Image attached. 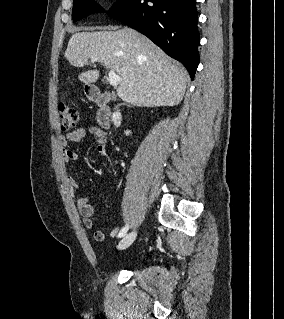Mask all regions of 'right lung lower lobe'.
I'll return each mask as SVG.
<instances>
[{
    "label": "right lung lower lobe",
    "mask_w": 284,
    "mask_h": 319,
    "mask_svg": "<svg viewBox=\"0 0 284 319\" xmlns=\"http://www.w3.org/2000/svg\"><path fill=\"white\" fill-rule=\"evenodd\" d=\"M108 15L146 35L180 61L193 80L199 64L196 0H132Z\"/></svg>",
    "instance_id": "right-lung-lower-lobe-1"
}]
</instances>
